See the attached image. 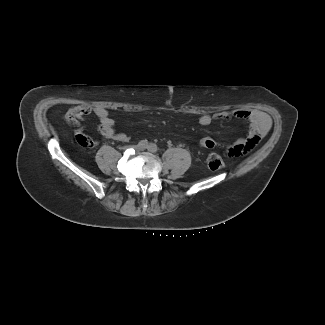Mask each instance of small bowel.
<instances>
[{
	"label": "small bowel",
	"instance_id": "1",
	"mask_svg": "<svg viewBox=\"0 0 325 325\" xmlns=\"http://www.w3.org/2000/svg\"><path fill=\"white\" fill-rule=\"evenodd\" d=\"M94 112L99 120L98 130L102 137L112 139L119 142H127L129 137L123 132H118L115 129V122L111 118L107 108L103 106H96L92 108L88 105H77L72 107L66 114L67 121L75 127V136L77 142L85 148H93L97 142L89 138L83 132L79 122L83 120L91 112ZM236 118H241L249 123L247 135L244 138L238 139L231 144L220 145L212 136L207 135L200 141V145L206 149H214L221 147L225 153L230 157H237L250 152L259 140L266 134L271 127L270 117L258 110H237L233 113ZM230 115L225 112H220L215 115L202 114L199 117V123L202 126L210 125L214 120H224Z\"/></svg>",
	"mask_w": 325,
	"mask_h": 325
}]
</instances>
